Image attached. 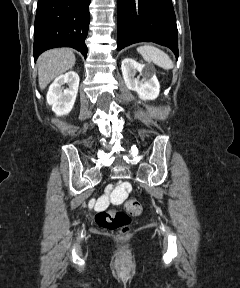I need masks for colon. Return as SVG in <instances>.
Returning <instances> with one entry per match:
<instances>
[{
	"instance_id": "5ec220e1",
	"label": "colon",
	"mask_w": 240,
	"mask_h": 288,
	"mask_svg": "<svg viewBox=\"0 0 240 288\" xmlns=\"http://www.w3.org/2000/svg\"><path fill=\"white\" fill-rule=\"evenodd\" d=\"M124 188L131 191V186L125 183ZM142 212V205L134 198H129L124 204V209H107L98 212L95 216L96 223L107 230L126 229L131 217L138 216Z\"/></svg>"
}]
</instances>
